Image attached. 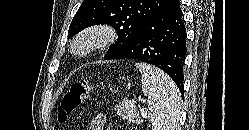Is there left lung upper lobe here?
Returning a JSON list of instances; mask_svg holds the SVG:
<instances>
[{
    "instance_id": "1",
    "label": "left lung upper lobe",
    "mask_w": 249,
    "mask_h": 130,
    "mask_svg": "<svg viewBox=\"0 0 249 130\" xmlns=\"http://www.w3.org/2000/svg\"><path fill=\"white\" fill-rule=\"evenodd\" d=\"M173 0H84L69 27L71 38L81 30L97 24H110L118 34L105 59L110 60L124 48L141 27L165 11Z\"/></svg>"
}]
</instances>
